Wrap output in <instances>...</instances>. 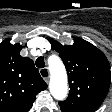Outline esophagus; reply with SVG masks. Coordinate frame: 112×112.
<instances>
[{
	"label": "esophagus",
	"mask_w": 112,
	"mask_h": 112,
	"mask_svg": "<svg viewBox=\"0 0 112 112\" xmlns=\"http://www.w3.org/2000/svg\"><path fill=\"white\" fill-rule=\"evenodd\" d=\"M40 75L43 77L46 83L49 82V70L47 68H42L39 70Z\"/></svg>",
	"instance_id": "34e87169"
}]
</instances>
